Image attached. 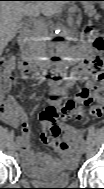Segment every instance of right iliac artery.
Returning a JSON list of instances; mask_svg holds the SVG:
<instances>
[{"instance_id": "82829eb1", "label": "right iliac artery", "mask_w": 104, "mask_h": 189, "mask_svg": "<svg viewBox=\"0 0 104 189\" xmlns=\"http://www.w3.org/2000/svg\"><path fill=\"white\" fill-rule=\"evenodd\" d=\"M17 142H20V137L17 138Z\"/></svg>"}]
</instances>
